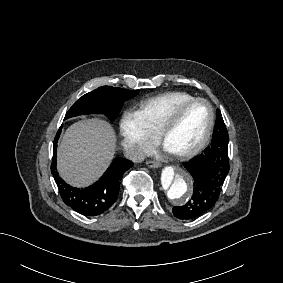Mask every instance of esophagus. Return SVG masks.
<instances>
[{
    "label": "esophagus",
    "instance_id": "1",
    "mask_svg": "<svg viewBox=\"0 0 283 283\" xmlns=\"http://www.w3.org/2000/svg\"><path fill=\"white\" fill-rule=\"evenodd\" d=\"M146 165L149 167V168H160L161 167V163L160 162H157V161H148L146 163Z\"/></svg>",
    "mask_w": 283,
    "mask_h": 283
}]
</instances>
